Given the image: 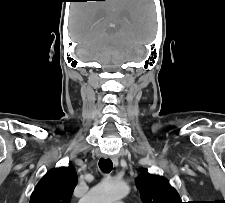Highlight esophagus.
<instances>
[{"label": "esophagus", "instance_id": "obj_1", "mask_svg": "<svg viewBox=\"0 0 225 203\" xmlns=\"http://www.w3.org/2000/svg\"><path fill=\"white\" fill-rule=\"evenodd\" d=\"M108 157L112 160V162H113V164H114L115 166L118 165V157H117V156H115V155H112V156L104 155V158H108Z\"/></svg>", "mask_w": 225, "mask_h": 203}]
</instances>
